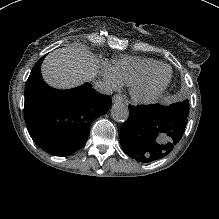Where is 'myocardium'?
<instances>
[{"instance_id":"1","label":"myocardium","mask_w":219,"mask_h":219,"mask_svg":"<svg viewBox=\"0 0 219 219\" xmlns=\"http://www.w3.org/2000/svg\"><path fill=\"white\" fill-rule=\"evenodd\" d=\"M160 71L167 73L165 81L160 86H152V78ZM171 78L172 71L166 64L153 68L142 79L131 86L130 95L132 100L140 105H148L156 102L166 91Z\"/></svg>"}]
</instances>
